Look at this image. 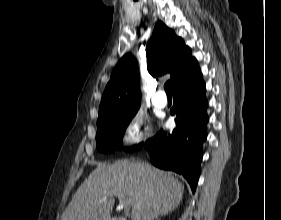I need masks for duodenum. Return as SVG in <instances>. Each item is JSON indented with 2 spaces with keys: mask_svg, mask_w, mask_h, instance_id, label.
<instances>
[{
  "mask_svg": "<svg viewBox=\"0 0 281 220\" xmlns=\"http://www.w3.org/2000/svg\"><path fill=\"white\" fill-rule=\"evenodd\" d=\"M111 220H126V219L121 218V217H115V218H112Z\"/></svg>",
  "mask_w": 281,
  "mask_h": 220,
  "instance_id": "1",
  "label": "duodenum"
}]
</instances>
